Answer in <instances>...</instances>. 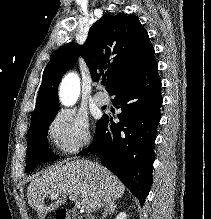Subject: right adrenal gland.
<instances>
[{"label": "right adrenal gland", "mask_w": 211, "mask_h": 219, "mask_svg": "<svg viewBox=\"0 0 211 219\" xmlns=\"http://www.w3.org/2000/svg\"><path fill=\"white\" fill-rule=\"evenodd\" d=\"M116 207H117V205L115 204V202H110V203L106 204L104 212H103L102 217L100 219H104L108 215L114 213Z\"/></svg>", "instance_id": "2a0ac1e0"}]
</instances>
